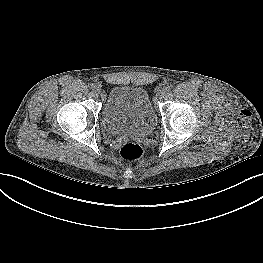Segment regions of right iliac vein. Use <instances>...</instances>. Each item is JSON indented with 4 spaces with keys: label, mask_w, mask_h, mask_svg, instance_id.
I'll return each instance as SVG.
<instances>
[{
    "label": "right iliac vein",
    "mask_w": 263,
    "mask_h": 263,
    "mask_svg": "<svg viewBox=\"0 0 263 263\" xmlns=\"http://www.w3.org/2000/svg\"><path fill=\"white\" fill-rule=\"evenodd\" d=\"M96 91H97L98 93H100V92H101V88H100L99 86H97Z\"/></svg>",
    "instance_id": "right-iliac-vein-1"
}]
</instances>
